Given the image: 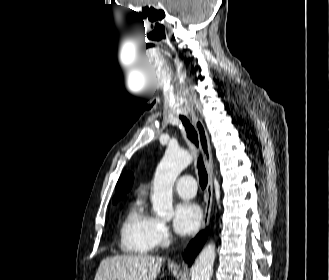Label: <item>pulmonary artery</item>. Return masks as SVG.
Here are the masks:
<instances>
[{"label":"pulmonary artery","mask_w":329,"mask_h":280,"mask_svg":"<svg viewBox=\"0 0 329 280\" xmlns=\"http://www.w3.org/2000/svg\"><path fill=\"white\" fill-rule=\"evenodd\" d=\"M176 193L184 198H193L196 194V182L191 175L181 176L174 185Z\"/></svg>","instance_id":"e3ab8cb5"}]
</instances>
